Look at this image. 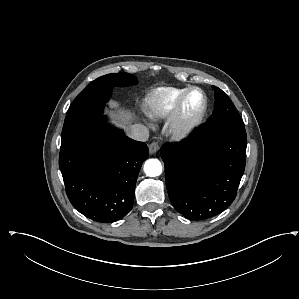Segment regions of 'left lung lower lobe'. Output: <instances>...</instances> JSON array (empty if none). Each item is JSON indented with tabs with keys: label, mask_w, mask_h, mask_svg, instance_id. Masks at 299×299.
Instances as JSON below:
<instances>
[{
	"label": "left lung lower lobe",
	"mask_w": 299,
	"mask_h": 299,
	"mask_svg": "<svg viewBox=\"0 0 299 299\" xmlns=\"http://www.w3.org/2000/svg\"><path fill=\"white\" fill-rule=\"evenodd\" d=\"M244 125L206 123L178 143L161 148L174 208L190 220L221 213L235 199L245 169Z\"/></svg>",
	"instance_id": "left-lung-lower-lobe-1"
}]
</instances>
